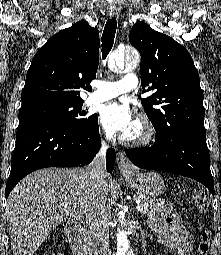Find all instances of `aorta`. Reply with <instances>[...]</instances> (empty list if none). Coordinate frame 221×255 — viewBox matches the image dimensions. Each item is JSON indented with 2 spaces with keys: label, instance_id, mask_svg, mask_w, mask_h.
<instances>
[{
  "label": "aorta",
  "instance_id": "1",
  "mask_svg": "<svg viewBox=\"0 0 221 255\" xmlns=\"http://www.w3.org/2000/svg\"><path fill=\"white\" fill-rule=\"evenodd\" d=\"M115 64L119 69H135L139 63V57L135 53H127L126 55L122 52L114 53ZM118 238V255H134L130 248L126 232L119 231L117 234Z\"/></svg>",
  "mask_w": 221,
  "mask_h": 255
}]
</instances>
